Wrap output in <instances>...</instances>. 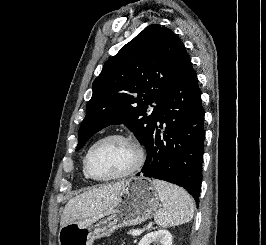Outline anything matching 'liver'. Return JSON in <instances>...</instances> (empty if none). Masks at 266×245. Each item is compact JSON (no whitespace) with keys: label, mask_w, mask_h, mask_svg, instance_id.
Returning a JSON list of instances; mask_svg holds the SVG:
<instances>
[{"label":"liver","mask_w":266,"mask_h":245,"mask_svg":"<svg viewBox=\"0 0 266 245\" xmlns=\"http://www.w3.org/2000/svg\"><path fill=\"white\" fill-rule=\"evenodd\" d=\"M126 181H118V183H108V185H99L98 189L84 191L81 195L73 197L65 205L63 215H61V227L69 225L73 221H83L95 217L103 211H107L112 203L116 201L119 193L125 187Z\"/></svg>","instance_id":"obj_1"}]
</instances>
